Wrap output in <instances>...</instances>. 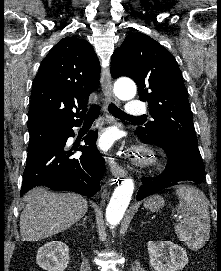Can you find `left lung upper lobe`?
<instances>
[{
  "label": "left lung upper lobe",
  "mask_w": 221,
  "mask_h": 271,
  "mask_svg": "<svg viewBox=\"0 0 221 271\" xmlns=\"http://www.w3.org/2000/svg\"><path fill=\"white\" fill-rule=\"evenodd\" d=\"M111 75L132 78L141 101L147 100L154 118L136 133L149 139L168 135L198 150L188 93L175 58L143 33L126 36L111 59Z\"/></svg>",
  "instance_id": "left-lung-upper-lobe-1"
}]
</instances>
